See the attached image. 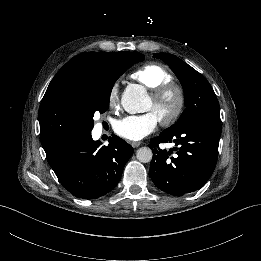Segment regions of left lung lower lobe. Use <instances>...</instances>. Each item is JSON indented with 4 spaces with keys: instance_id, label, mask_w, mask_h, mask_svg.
Listing matches in <instances>:
<instances>
[{
    "instance_id": "1",
    "label": "left lung lower lobe",
    "mask_w": 261,
    "mask_h": 261,
    "mask_svg": "<svg viewBox=\"0 0 261 261\" xmlns=\"http://www.w3.org/2000/svg\"><path fill=\"white\" fill-rule=\"evenodd\" d=\"M222 127L207 121L196 122L175 134L160 133L149 146L153 158L149 175L162 191L182 196L199 190L211 177L218 157ZM175 142L177 148L157 149L159 143ZM174 151L172 157L171 153Z\"/></svg>"
}]
</instances>
